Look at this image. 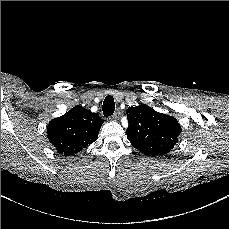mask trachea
<instances>
[{
  "label": "trachea",
  "instance_id": "1",
  "mask_svg": "<svg viewBox=\"0 0 229 229\" xmlns=\"http://www.w3.org/2000/svg\"><path fill=\"white\" fill-rule=\"evenodd\" d=\"M102 109H103L104 116L109 117L113 115L115 110V102L113 96L111 95L106 96V98L103 101Z\"/></svg>",
  "mask_w": 229,
  "mask_h": 229
}]
</instances>
